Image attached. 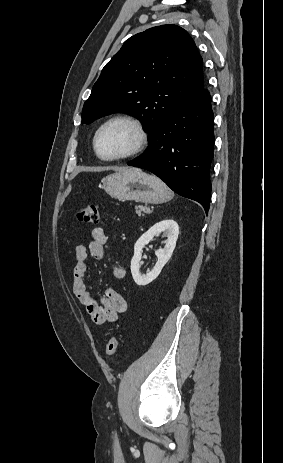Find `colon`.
I'll return each instance as SVG.
<instances>
[{"instance_id": "colon-1", "label": "colon", "mask_w": 283, "mask_h": 463, "mask_svg": "<svg viewBox=\"0 0 283 463\" xmlns=\"http://www.w3.org/2000/svg\"><path fill=\"white\" fill-rule=\"evenodd\" d=\"M78 219L87 224H96L100 221V212L95 204H87L78 213ZM119 341L116 337H111L106 345V355H115Z\"/></svg>"}]
</instances>
